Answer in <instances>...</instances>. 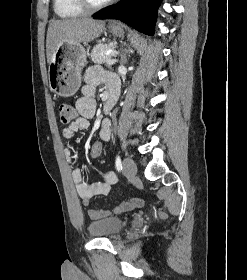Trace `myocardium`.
I'll list each match as a JSON object with an SVG mask.
<instances>
[{
  "instance_id": "obj_1",
  "label": "myocardium",
  "mask_w": 247,
  "mask_h": 280,
  "mask_svg": "<svg viewBox=\"0 0 247 280\" xmlns=\"http://www.w3.org/2000/svg\"><path fill=\"white\" fill-rule=\"evenodd\" d=\"M78 5L85 11H96L108 6L113 0H105L99 3H94L91 0H76Z\"/></svg>"
}]
</instances>
